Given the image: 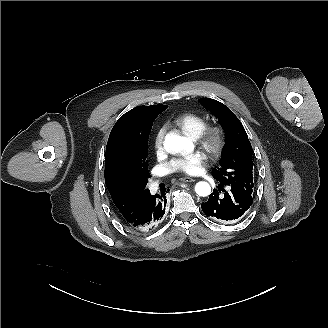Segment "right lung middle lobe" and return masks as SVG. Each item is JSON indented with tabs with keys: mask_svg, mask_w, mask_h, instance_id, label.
I'll list each match as a JSON object with an SVG mask.
<instances>
[{
	"mask_svg": "<svg viewBox=\"0 0 328 328\" xmlns=\"http://www.w3.org/2000/svg\"><path fill=\"white\" fill-rule=\"evenodd\" d=\"M161 111L149 107L123 123L116 138V161L124 180L133 188L148 191L147 144L153 120Z\"/></svg>",
	"mask_w": 328,
	"mask_h": 328,
	"instance_id": "1",
	"label": "right lung middle lobe"
}]
</instances>
